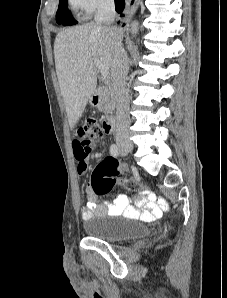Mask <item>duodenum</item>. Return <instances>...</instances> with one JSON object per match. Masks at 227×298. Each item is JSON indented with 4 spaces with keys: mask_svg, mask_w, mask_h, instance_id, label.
<instances>
[{
    "mask_svg": "<svg viewBox=\"0 0 227 298\" xmlns=\"http://www.w3.org/2000/svg\"><path fill=\"white\" fill-rule=\"evenodd\" d=\"M101 92L99 90H95L91 95V103L94 106H98L101 102ZM116 129V117L115 115H109L104 121H103V130L105 133L110 134L114 132Z\"/></svg>",
    "mask_w": 227,
    "mask_h": 298,
    "instance_id": "duodenum-1",
    "label": "duodenum"
}]
</instances>
